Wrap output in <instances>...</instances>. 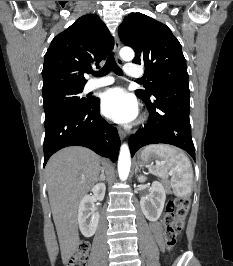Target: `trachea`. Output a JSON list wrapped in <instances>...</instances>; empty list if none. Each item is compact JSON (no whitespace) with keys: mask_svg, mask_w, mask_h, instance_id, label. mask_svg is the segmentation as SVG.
<instances>
[{"mask_svg":"<svg viewBox=\"0 0 233 266\" xmlns=\"http://www.w3.org/2000/svg\"><path fill=\"white\" fill-rule=\"evenodd\" d=\"M113 71L117 75H123L121 68L116 64L113 53H110L105 65L99 72H91L96 77H101L107 75L110 71Z\"/></svg>","mask_w":233,"mask_h":266,"instance_id":"obj_1","label":"trachea"}]
</instances>
